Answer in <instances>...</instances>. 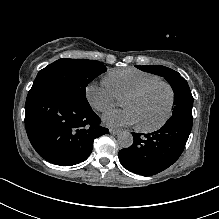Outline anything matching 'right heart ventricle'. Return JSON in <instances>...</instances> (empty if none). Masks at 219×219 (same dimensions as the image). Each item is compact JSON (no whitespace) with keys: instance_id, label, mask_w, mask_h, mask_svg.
<instances>
[{"instance_id":"right-heart-ventricle-1","label":"right heart ventricle","mask_w":219,"mask_h":219,"mask_svg":"<svg viewBox=\"0 0 219 219\" xmlns=\"http://www.w3.org/2000/svg\"><path fill=\"white\" fill-rule=\"evenodd\" d=\"M159 79L160 77L155 74L134 67H128L109 72L105 81L108 83L114 96L122 98L139 86Z\"/></svg>"}]
</instances>
